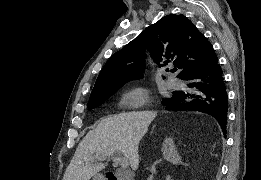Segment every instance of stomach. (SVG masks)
Instances as JSON below:
<instances>
[{
    "instance_id": "stomach-1",
    "label": "stomach",
    "mask_w": 261,
    "mask_h": 180,
    "mask_svg": "<svg viewBox=\"0 0 261 180\" xmlns=\"http://www.w3.org/2000/svg\"><path fill=\"white\" fill-rule=\"evenodd\" d=\"M92 180H105L102 174H96L93 176Z\"/></svg>"
}]
</instances>
